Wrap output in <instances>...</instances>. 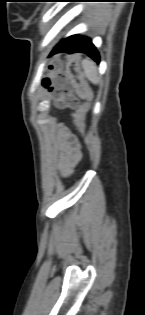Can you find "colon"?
Segmentation results:
<instances>
[{
	"mask_svg": "<svg viewBox=\"0 0 145 315\" xmlns=\"http://www.w3.org/2000/svg\"><path fill=\"white\" fill-rule=\"evenodd\" d=\"M44 84L55 91L58 105L61 107L76 108L78 106V100L72 94V88L76 90L79 97L90 98V91L82 78L79 62L76 58L69 60L66 73L62 71L59 63H51L45 70ZM85 112L86 106H81L75 115L76 123L80 129H83Z\"/></svg>",
	"mask_w": 145,
	"mask_h": 315,
	"instance_id": "colon-1",
	"label": "colon"
}]
</instances>
